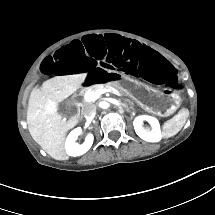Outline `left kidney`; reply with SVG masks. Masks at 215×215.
I'll return each instance as SVG.
<instances>
[{
    "label": "left kidney",
    "mask_w": 215,
    "mask_h": 215,
    "mask_svg": "<svg viewBox=\"0 0 215 215\" xmlns=\"http://www.w3.org/2000/svg\"><path fill=\"white\" fill-rule=\"evenodd\" d=\"M146 120L152 127L151 131H147L142 127L143 121ZM136 134L147 142H159L161 140V131L158 120L148 115L137 116L133 121Z\"/></svg>",
    "instance_id": "5707ae66"
}]
</instances>
